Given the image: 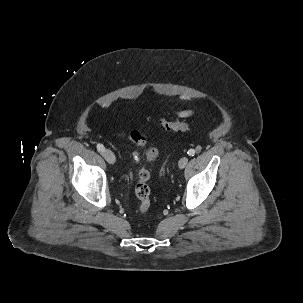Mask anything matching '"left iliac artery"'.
<instances>
[{
    "label": "left iliac artery",
    "mask_w": 303,
    "mask_h": 303,
    "mask_svg": "<svg viewBox=\"0 0 303 303\" xmlns=\"http://www.w3.org/2000/svg\"><path fill=\"white\" fill-rule=\"evenodd\" d=\"M187 154L189 156H194L195 155V150L194 149H190V150H188Z\"/></svg>",
    "instance_id": "obj_1"
}]
</instances>
